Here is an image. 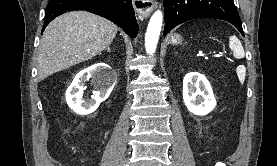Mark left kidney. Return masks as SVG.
<instances>
[{"instance_id": "left-kidney-1", "label": "left kidney", "mask_w": 277, "mask_h": 166, "mask_svg": "<svg viewBox=\"0 0 277 166\" xmlns=\"http://www.w3.org/2000/svg\"><path fill=\"white\" fill-rule=\"evenodd\" d=\"M183 100L187 109L199 116L210 113L216 106L212 87L198 72L187 73L183 79Z\"/></svg>"}]
</instances>
